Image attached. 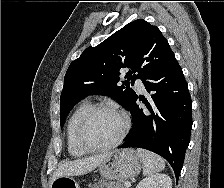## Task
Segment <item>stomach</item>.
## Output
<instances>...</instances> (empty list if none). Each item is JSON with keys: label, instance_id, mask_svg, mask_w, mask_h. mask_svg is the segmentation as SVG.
I'll return each instance as SVG.
<instances>
[{"label": "stomach", "instance_id": "stomach-1", "mask_svg": "<svg viewBox=\"0 0 224 188\" xmlns=\"http://www.w3.org/2000/svg\"><path fill=\"white\" fill-rule=\"evenodd\" d=\"M142 159L134 149L113 150L99 165L102 177L119 182L135 177L140 173ZM51 188H79L71 176H60L51 183Z\"/></svg>", "mask_w": 224, "mask_h": 188}]
</instances>
